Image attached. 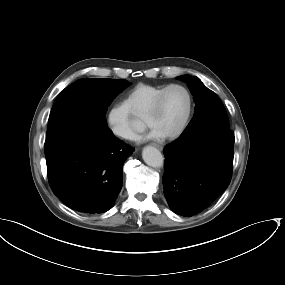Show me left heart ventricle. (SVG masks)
Masks as SVG:
<instances>
[{
    "label": "left heart ventricle",
    "mask_w": 285,
    "mask_h": 285,
    "mask_svg": "<svg viewBox=\"0 0 285 285\" xmlns=\"http://www.w3.org/2000/svg\"><path fill=\"white\" fill-rule=\"evenodd\" d=\"M187 109V96L181 88L169 89L160 109L144 122L159 135L172 133L181 123Z\"/></svg>",
    "instance_id": "1"
}]
</instances>
